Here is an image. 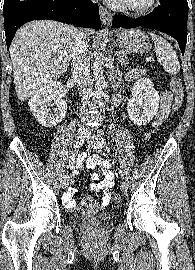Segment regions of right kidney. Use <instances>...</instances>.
Here are the masks:
<instances>
[{"instance_id": "1", "label": "right kidney", "mask_w": 195, "mask_h": 270, "mask_svg": "<svg viewBox=\"0 0 195 270\" xmlns=\"http://www.w3.org/2000/svg\"><path fill=\"white\" fill-rule=\"evenodd\" d=\"M63 89L61 82L54 81L43 86L29 100L28 105L36 120L44 127H53L66 116L67 103L59 98ZM54 100L56 108L51 111L49 106Z\"/></svg>"}]
</instances>
